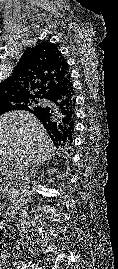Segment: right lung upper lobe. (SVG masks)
<instances>
[{"instance_id":"1","label":"right lung upper lobe","mask_w":118,"mask_h":269,"mask_svg":"<svg viewBox=\"0 0 118 269\" xmlns=\"http://www.w3.org/2000/svg\"><path fill=\"white\" fill-rule=\"evenodd\" d=\"M69 66L51 42L27 48L11 76L0 83V104L30 100L26 111L37 116L54 140L72 118ZM39 100L46 103L38 105Z\"/></svg>"}]
</instances>
